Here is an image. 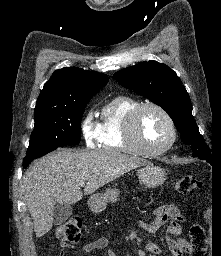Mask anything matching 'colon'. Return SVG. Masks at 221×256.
<instances>
[{
    "label": "colon",
    "mask_w": 221,
    "mask_h": 256,
    "mask_svg": "<svg viewBox=\"0 0 221 256\" xmlns=\"http://www.w3.org/2000/svg\"><path fill=\"white\" fill-rule=\"evenodd\" d=\"M202 186V182L194 176H184L176 184V189L181 194H190ZM82 235V221L78 217H71L55 229V237L65 246L77 244ZM190 256H208L207 236L204 228L195 224L190 228Z\"/></svg>",
    "instance_id": "colon-1"
}]
</instances>
